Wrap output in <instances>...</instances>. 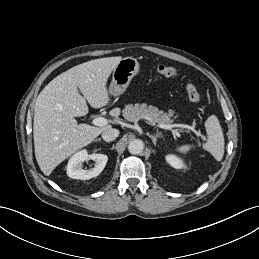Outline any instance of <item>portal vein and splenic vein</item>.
Masks as SVG:
<instances>
[{"label":"portal vein and splenic vein","mask_w":259,"mask_h":259,"mask_svg":"<svg viewBox=\"0 0 259 259\" xmlns=\"http://www.w3.org/2000/svg\"><path fill=\"white\" fill-rule=\"evenodd\" d=\"M92 124L95 126H105L107 124V119L103 118V117H96L92 120ZM154 125V123H153ZM159 128L162 129H167V130H171L173 133H175L177 136L179 135V133L177 132V130L172 129L173 126L172 125H165V124H159L158 125Z\"/></svg>","instance_id":"1"}]
</instances>
